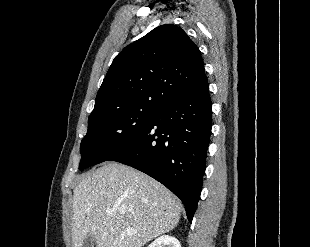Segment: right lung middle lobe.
Listing matches in <instances>:
<instances>
[{"label": "right lung middle lobe", "mask_w": 310, "mask_h": 247, "mask_svg": "<svg viewBox=\"0 0 310 247\" xmlns=\"http://www.w3.org/2000/svg\"><path fill=\"white\" fill-rule=\"evenodd\" d=\"M157 110L125 108L88 120V131L80 145L81 170L107 161L127 147Z\"/></svg>", "instance_id": "right-lung-middle-lobe-1"}]
</instances>
